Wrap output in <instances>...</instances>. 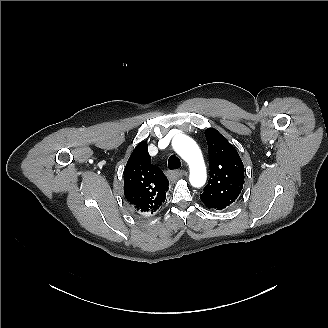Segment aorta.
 Segmentation results:
<instances>
[{"label": "aorta", "instance_id": "aorta-1", "mask_svg": "<svg viewBox=\"0 0 328 328\" xmlns=\"http://www.w3.org/2000/svg\"><path fill=\"white\" fill-rule=\"evenodd\" d=\"M172 146L175 152L189 165L191 185L194 187L203 186L207 178L206 167L196 142L184 134H179L173 138Z\"/></svg>", "mask_w": 328, "mask_h": 328}]
</instances>
